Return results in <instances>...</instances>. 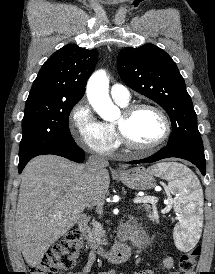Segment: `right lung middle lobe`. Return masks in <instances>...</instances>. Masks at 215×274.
Returning a JSON list of instances; mask_svg holds the SVG:
<instances>
[{"label":"right lung middle lobe","mask_w":215,"mask_h":274,"mask_svg":"<svg viewBox=\"0 0 215 274\" xmlns=\"http://www.w3.org/2000/svg\"><path fill=\"white\" fill-rule=\"evenodd\" d=\"M74 102H26L22 120L19 160H28L49 150L76 145L68 119Z\"/></svg>","instance_id":"dd1d6c3e"}]
</instances>
